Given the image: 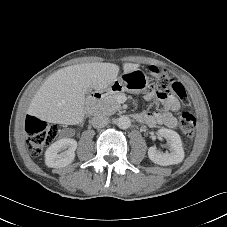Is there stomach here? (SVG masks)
<instances>
[{"mask_svg":"<svg viewBox=\"0 0 227 227\" xmlns=\"http://www.w3.org/2000/svg\"><path fill=\"white\" fill-rule=\"evenodd\" d=\"M149 86L148 76L140 69L124 72L106 90L108 93L128 92L139 94Z\"/></svg>","mask_w":227,"mask_h":227,"instance_id":"0dacf381","label":"stomach"}]
</instances>
